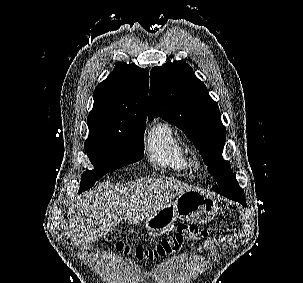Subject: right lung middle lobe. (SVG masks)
I'll return each instance as SVG.
<instances>
[{
	"mask_svg": "<svg viewBox=\"0 0 303 283\" xmlns=\"http://www.w3.org/2000/svg\"><path fill=\"white\" fill-rule=\"evenodd\" d=\"M145 122L118 128L89 130L85 151L94 170L83 173L80 191L91 188L106 173L143 158Z\"/></svg>",
	"mask_w": 303,
	"mask_h": 283,
	"instance_id": "obj_1",
	"label": "right lung middle lobe"
}]
</instances>
